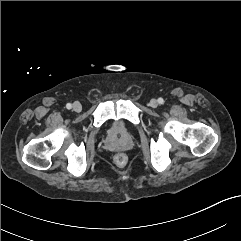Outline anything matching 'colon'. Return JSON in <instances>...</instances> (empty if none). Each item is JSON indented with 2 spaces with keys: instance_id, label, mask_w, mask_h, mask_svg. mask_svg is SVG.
I'll return each mask as SVG.
<instances>
[{
  "instance_id": "obj_1",
  "label": "colon",
  "mask_w": 241,
  "mask_h": 241,
  "mask_svg": "<svg viewBox=\"0 0 241 241\" xmlns=\"http://www.w3.org/2000/svg\"><path fill=\"white\" fill-rule=\"evenodd\" d=\"M115 162L118 165H124L127 162V157L123 153H119L114 157Z\"/></svg>"
}]
</instances>
